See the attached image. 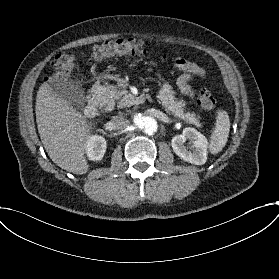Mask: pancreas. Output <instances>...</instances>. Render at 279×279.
I'll return each mask as SVG.
<instances>
[{
  "label": "pancreas",
  "mask_w": 279,
  "mask_h": 279,
  "mask_svg": "<svg viewBox=\"0 0 279 279\" xmlns=\"http://www.w3.org/2000/svg\"><path fill=\"white\" fill-rule=\"evenodd\" d=\"M158 84L161 88L158 89L157 100L164 108L165 112L168 115L179 118L180 120L185 121L189 124H198L199 121L195 118L194 114L183 113L182 107L184 104L179 101L178 98H175L176 92L172 90V85L168 80H165L163 77L158 80ZM96 97L100 101L102 107H111L114 108L116 103L121 99V96L124 94L123 91H120L116 85L104 84L99 86V88H94Z\"/></svg>",
  "instance_id": "cf45deb5"
}]
</instances>
